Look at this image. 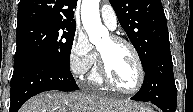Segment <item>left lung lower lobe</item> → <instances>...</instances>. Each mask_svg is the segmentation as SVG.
Listing matches in <instances>:
<instances>
[{"label": "left lung lower lobe", "mask_w": 193, "mask_h": 112, "mask_svg": "<svg viewBox=\"0 0 193 112\" xmlns=\"http://www.w3.org/2000/svg\"><path fill=\"white\" fill-rule=\"evenodd\" d=\"M144 82L131 99L152 102L164 112H175L177 89L174 81L170 44L162 46L144 68Z\"/></svg>", "instance_id": "obj_1"}]
</instances>
